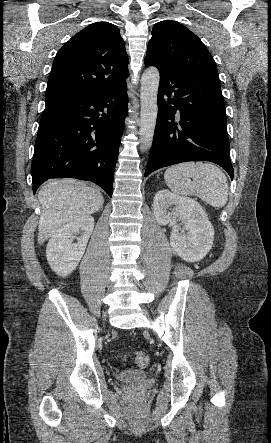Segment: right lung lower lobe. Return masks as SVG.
<instances>
[{"mask_svg": "<svg viewBox=\"0 0 271 443\" xmlns=\"http://www.w3.org/2000/svg\"><path fill=\"white\" fill-rule=\"evenodd\" d=\"M127 106L126 84L46 104L31 166L33 192L47 179L71 177L92 181L112 197Z\"/></svg>", "mask_w": 271, "mask_h": 443, "instance_id": "1", "label": "right lung lower lobe"}]
</instances>
